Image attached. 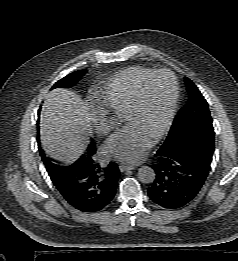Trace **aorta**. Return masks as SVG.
<instances>
[{
    "label": "aorta",
    "mask_w": 238,
    "mask_h": 261,
    "mask_svg": "<svg viewBox=\"0 0 238 261\" xmlns=\"http://www.w3.org/2000/svg\"><path fill=\"white\" fill-rule=\"evenodd\" d=\"M138 179L140 182L149 184L155 180V172L149 166H142L138 169L137 173Z\"/></svg>",
    "instance_id": "aorta-1"
}]
</instances>
